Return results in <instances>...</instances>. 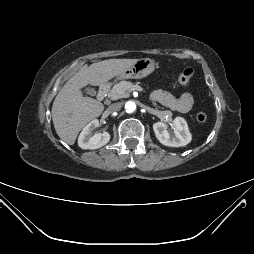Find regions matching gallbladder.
<instances>
[{
	"instance_id": "obj_1",
	"label": "gallbladder",
	"mask_w": 254,
	"mask_h": 254,
	"mask_svg": "<svg viewBox=\"0 0 254 254\" xmlns=\"http://www.w3.org/2000/svg\"><path fill=\"white\" fill-rule=\"evenodd\" d=\"M85 93L94 96L96 94V91L92 88H85L84 89Z\"/></svg>"
}]
</instances>
